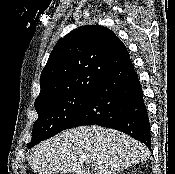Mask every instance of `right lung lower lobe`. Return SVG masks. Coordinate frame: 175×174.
Returning a JSON list of instances; mask_svg holds the SVG:
<instances>
[{
	"instance_id": "1",
	"label": "right lung lower lobe",
	"mask_w": 175,
	"mask_h": 174,
	"mask_svg": "<svg viewBox=\"0 0 175 174\" xmlns=\"http://www.w3.org/2000/svg\"><path fill=\"white\" fill-rule=\"evenodd\" d=\"M83 125L119 130L151 149L148 113L131 61L107 74L93 87L67 129Z\"/></svg>"
}]
</instances>
